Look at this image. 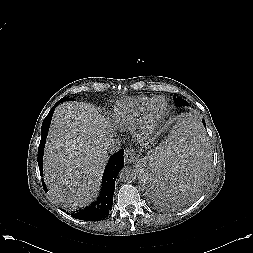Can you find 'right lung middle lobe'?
<instances>
[{"mask_svg":"<svg viewBox=\"0 0 253 253\" xmlns=\"http://www.w3.org/2000/svg\"><path fill=\"white\" fill-rule=\"evenodd\" d=\"M60 100H62V102H63V101H66V100H73V99H72V98H67V97H66V98H62V99H60Z\"/></svg>","mask_w":253,"mask_h":253,"instance_id":"dd1d6c3e","label":"right lung middle lobe"}]
</instances>
